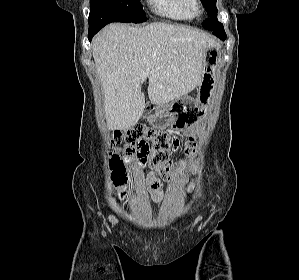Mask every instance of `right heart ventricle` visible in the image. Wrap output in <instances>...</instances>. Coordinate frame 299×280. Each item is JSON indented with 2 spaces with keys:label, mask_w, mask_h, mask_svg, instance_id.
Here are the masks:
<instances>
[{
  "label": "right heart ventricle",
  "mask_w": 299,
  "mask_h": 280,
  "mask_svg": "<svg viewBox=\"0 0 299 280\" xmlns=\"http://www.w3.org/2000/svg\"><path fill=\"white\" fill-rule=\"evenodd\" d=\"M154 11L166 18L190 22L197 17L196 0H149Z\"/></svg>",
  "instance_id": "right-heart-ventricle-1"
}]
</instances>
